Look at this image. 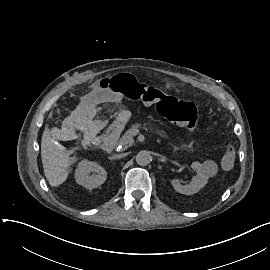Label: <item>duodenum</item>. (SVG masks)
Wrapping results in <instances>:
<instances>
[{"instance_id": "obj_1", "label": "duodenum", "mask_w": 270, "mask_h": 270, "mask_svg": "<svg viewBox=\"0 0 270 270\" xmlns=\"http://www.w3.org/2000/svg\"><path fill=\"white\" fill-rule=\"evenodd\" d=\"M122 128L123 124L121 122H116L109 127L102 142V149L104 151L111 152L115 148Z\"/></svg>"}]
</instances>
